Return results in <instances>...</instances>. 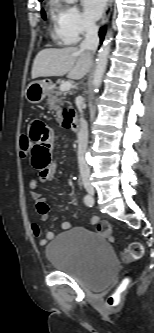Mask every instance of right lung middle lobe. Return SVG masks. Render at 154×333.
<instances>
[{
	"label": "right lung middle lobe",
	"mask_w": 154,
	"mask_h": 333,
	"mask_svg": "<svg viewBox=\"0 0 154 333\" xmlns=\"http://www.w3.org/2000/svg\"><path fill=\"white\" fill-rule=\"evenodd\" d=\"M42 17L45 18V12L42 10Z\"/></svg>",
	"instance_id": "dd1d6c3e"
}]
</instances>
